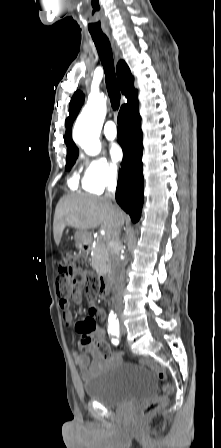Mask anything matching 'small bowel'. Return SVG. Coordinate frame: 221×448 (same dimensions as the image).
I'll use <instances>...</instances> for the list:
<instances>
[{"label":"small bowel","instance_id":"small-bowel-1","mask_svg":"<svg viewBox=\"0 0 221 448\" xmlns=\"http://www.w3.org/2000/svg\"><path fill=\"white\" fill-rule=\"evenodd\" d=\"M86 281V274L79 273L75 282L68 287L67 291L60 292L61 298L59 305L62 309L63 320L68 325L74 323L71 301L76 304H81L83 285ZM89 314L90 317L80 319L76 322V329L80 333L78 345L84 353L78 354L73 352L75 363L79 367L83 379H86L88 375L103 368L105 365L120 362L122 359L121 352L111 351L103 329L96 326L93 320V317L100 318L104 316L103 309L99 306H92L89 309ZM90 321L94 323V329L87 331L83 326ZM91 332L94 333L93 337L90 335Z\"/></svg>","mask_w":221,"mask_h":448}]
</instances>
